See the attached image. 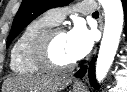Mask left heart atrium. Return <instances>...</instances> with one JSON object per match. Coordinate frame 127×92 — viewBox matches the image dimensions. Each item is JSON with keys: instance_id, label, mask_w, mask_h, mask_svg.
<instances>
[{"instance_id": "left-heart-atrium-1", "label": "left heart atrium", "mask_w": 127, "mask_h": 92, "mask_svg": "<svg viewBox=\"0 0 127 92\" xmlns=\"http://www.w3.org/2000/svg\"><path fill=\"white\" fill-rule=\"evenodd\" d=\"M67 41L73 59H82L90 52L93 46V32L83 23L78 22L67 33Z\"/></svg>"}]
</instances>
